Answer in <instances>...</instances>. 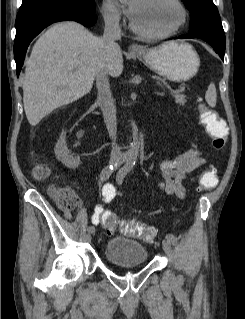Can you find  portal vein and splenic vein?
I'll list each match as a JSON object with an SVG mask.
<instances>
[{
	"label": "portal vein and splenic vein",
	"mask_w": 245,
	"mask_h": 319,
	"mask_svg": "<svg viewBox=\"0 0 245 319\" xmlns=\"http://www.w3.org/2000/svg\"><path fill=\"white\" fill-rule=\"evenodd\" d=\"M180 90H184V88H181ZM175 92H179V90H174Z\"/></svg>",
	"instance_id": "1"
}]
</instances>
